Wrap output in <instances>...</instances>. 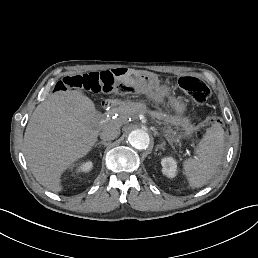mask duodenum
I'll return each instance as SVG.
<instances>
[{
  "mask_svg": "<svg viewBox=\"0 0 258 258\" xmlns=\"http://www.w3.org/2000/svg\"><path fill=\"white\" fill-rule=\"evenodd\" d=\"M110 75L116 81L128 82L137 76V72L129 67L117 66L111 69Z\"/></svg>",
  "mask_w": 258,
  "mask_h": 258,
  "instance_id": "410a0bca",
  "label": "duodenum"
}]
</instances>
